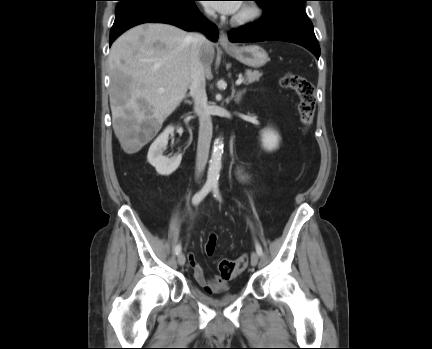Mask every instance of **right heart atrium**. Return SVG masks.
<instances>
[{
    "label": "right heart atrium",
    "mask_w": 432,
    "mask_h": 349,
    "mask_svg": "<svg viewBox=\"0 0 432 349\" xmlns=\"http://www.w3.org/2000/svg\"><path fill=\"white\" fill-rule=\"evenodd\" d=\"M207 14L209 15V14H210V12H209V11H207Z\"/></svg>",
    "instance_id": "right-heart-atrium-1"
}]
</instances>
